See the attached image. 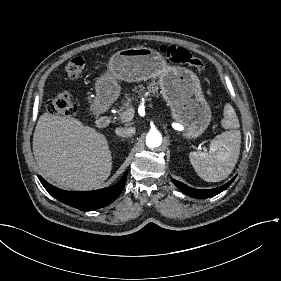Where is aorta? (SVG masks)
Returning a JSON list of instances; mask_svg holds the SVG:
<instances>
[{"mask_svg": "<svg viewBox=\"0 0 281 281\" xmlns=\"http://www.w3.org/2000/svg\"><path fill=\"white\" fill-rule=\"evenodd\" d=\"M162 144V136L157 130H151L146 136V145L149 148H156Z\"/></svg>", "mask_w": 281, "mask_h": 281, "instance_id": "obj_1", "label": "aorta"}]
</instances>
